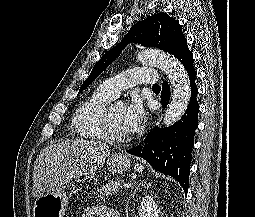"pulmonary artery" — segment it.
<instances>
[{
	"instance_id": "e3ab8cb5",
	"label": "pulmonary artery",
	"mask_w": 255,
	"mask_h": 217,
	"mask_svg": "<svg viewBox=\"0 0 255 217\" xmlns=\"http://www.w3.org/2000/svg\"><path fill=\"white\" fill-rule=\"evenodd\" d=\"M157 80V74L153 69L138 67L128 69L105 80L102 86L113 97H117L121 91L136 84H156Z\"/></svg>"
}]
</instances>
